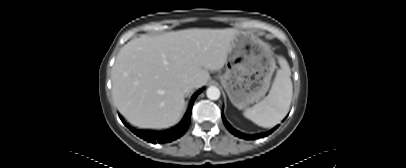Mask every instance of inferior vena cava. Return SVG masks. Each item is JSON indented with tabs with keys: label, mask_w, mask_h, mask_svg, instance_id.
<instances>
[{
	"label": "inferior vena cava",
	"mask_w": 406,
	"mask_h": 168,
	"mask_svg": "<svg viewBox=\"0 0 406 168\" xmlns=\"http://www.w3.org/2000/svg\"><path fill=\"white\" fill-rule=\"evenodd\" d=\"M194 88V82L193 81H187L184 86H183V92L185 94H188L192 89Z\"/></svg>",
	"instance_id": "inferior-vena-cava-1"
}]
</instances>
